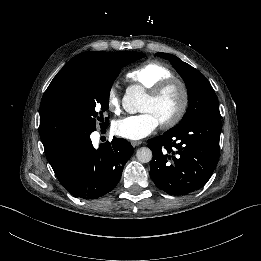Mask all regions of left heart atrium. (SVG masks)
<instances>
[{
	"label": "left heart atrium",
	"mask_w": 261,
	"mask_h": 261,
	"mask_svg": "<svg viewBox=\"0 0 261 261\" xmlns=\"http://www.w3.org/2000/svg\"><path fill=\"white\" fill-rule=\"evenodd\" d=\"M160 122L152 112H143L117 120L112 127L116 136L137 141L153 133Z\"/></svg>",
	"instance_id": "obj_1"
}]
</instances>
